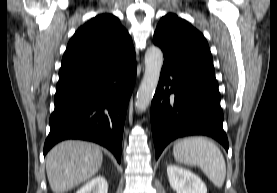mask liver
<instances>
[{
    "instance_id": "1",
    "label": "liver",
    "mask_w": 277,
    "mask_h": 193,
    "mask_svg": "<svg viewBox=\"0 0 277 193\" xmlns=\"http://www.w3.org/2000/svg\"><path fill=\"white\" fill-rule=\"evenodd\" d=\"M100 147L90 142L68 140L57 144L46 156L51 190L64 193L93 177L102 165Z\"/></svg>"
}]
</instances>
